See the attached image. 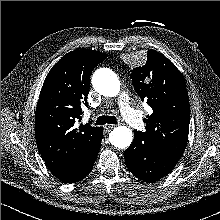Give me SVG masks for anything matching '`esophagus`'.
Returning a JSON list of instances; mask_svg holds the SVG:
<instances>
[{"mask_svg": "<svg viewBox=\"0 0 220 220\" xmlns=\"http://www.w3.org/2000/svg\"><path fill=\"white\" fill-rule=\"evenodd\" d=\"M114 127H115V125H106V126H105V130H106V131H110V130H112Z\"/></svg>", "mask_w": 220, "mask_h": 220, "instance_id": "obj_1", "label": "esophagus"}]
</instances>
